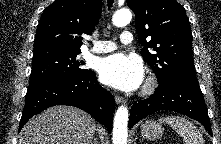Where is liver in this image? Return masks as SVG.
I'll list each match as a JSON object with an SVG mask.
<instances>
[{"label":"liver","mask_w":221,"mask_h":144,"mask_svg":"<svg viewBox=\"0 0 221 144\" xmlns=\"http://www.w3.org/2000/svg\"><path fill=\"white\" fill-rule=\"evenodd\" d=\"M95 131L96 123L86 112L54 106L24 125L18 144H93Z\"/></svg>","instance_id":"6515ba94"}]
</instances>
